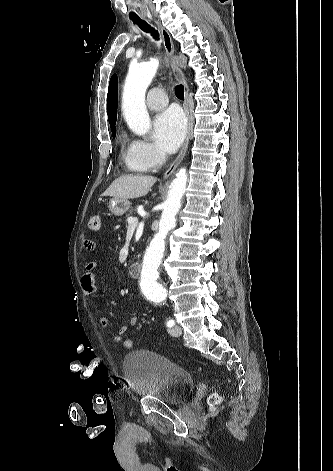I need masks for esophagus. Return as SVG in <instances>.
<instances>
[{"label":"esophagus","instance_id":"1","mask_svg":"<svg viewBox=\"0 0 333 471\" xmlns=\"http://www.w3.org/2000/svg\"><path fill=\"white\" fill-rule=\"evenodd\" d=\"M156 24H157V28L159 29V31L162 35V40H163V44H164V48L166 50V53L172 61L173 73H174L176 79L184 86V96H185L184 109H185V113H186V116H187V135H186V139H185L183 147H182L181 151L179 152L178 156L176 157V159L173 161V163L170 165V167L164 173L163 177H164V179H167L168 177H170L173 174V172L175 171V169L178 167V165L181 163V161L183 160V158L185 156V153L187 151L189 141H190L192 121H191V116H190V112H189V89H188L187 81L185 79V76H184L183 72L181 71V69L173 61L174 46H173L171 36H170L169 32L165 28H163L159 23L156 22Z\"/></svg>","mask_w":333,"mask_h":471}]
</instances>
